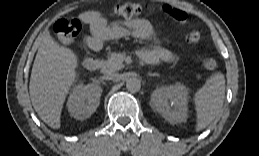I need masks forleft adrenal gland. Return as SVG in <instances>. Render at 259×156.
Wrapping results in <instances>:
<instances>
[{
  "mask_svg": "<svg viewBox=\"0 0 259 156\" xmlns=\"http://www.w3.org/2000/svg\"><path fill=\"white\" fill-rule=\"evenodd\" d=\"M148 76H152V77L157 76V77H159V74H157V73H148Z\"/></svg>",
  "mask_w": 259,
  "mask_h": 156,
  "instance_id": "1",
  "label": "left adrenal gland"
}]
</instances>
